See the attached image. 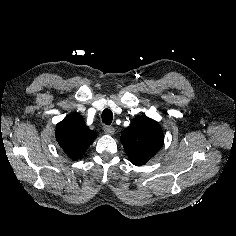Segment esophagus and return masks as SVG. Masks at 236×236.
Instances as JSON below:
<instances>
[{
	"instance_id": "obj_1",
	"label": "esophagus",
	"mask_w": 236,
	"mask_h": 236,
	"mask_svg": "<svg viewBox=\"0 0 236 236\" xmlns=\"http://www.w3.org/2000/svg\"><path fill=\"white\" fill-rule=\"evenodd\" d=\"M103 130H104L105 134H107V135H113L115 132V129L112 126H105L103 128Z\"/></svg>"
}]
</instances>
